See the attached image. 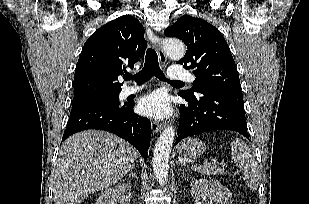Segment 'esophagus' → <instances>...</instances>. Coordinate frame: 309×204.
Here are the masks:
<instances>
[{
  "label": "esophagus",
  "instance_id": "34e87169",
  "mask_svg": "<svg viewBox=\"0 0 309 204\" xmlns=\"http://www.w3.org/2000/svg\"><path fill=\"white\" fill-rule=\"evenodd\" d=\"M152 41V44L158 54V57H159V60L162 64H166L167 63V57L165 55V52L163 50V47H162V43H161V38L158 37V36H155L154 38L151 39ZM151 128H152V131L154 133H158L162 130L163 128V125L157 121H152L151 122Z\"/></svg>",
  "mask_w": 309,
  "mask_h": 204
}]
</instances>
